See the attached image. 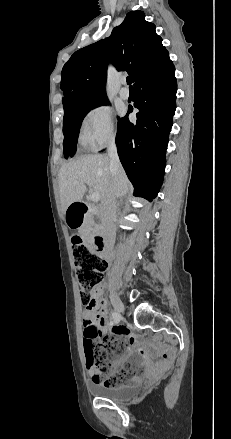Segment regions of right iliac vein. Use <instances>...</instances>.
<instances>
[{
    "instance_id": "1",
    "label": "right iliac vein",
    "mask_w": 231,
    "mask_h": 439,
    "mask_svg": "<svg viewBox=\"0 0 231 439\" xmlns=\"http://www.w3.org/2000/svg\"><path fill=\"white\" fill-rule=\"evenodd\" d=\"M110 299H111L112 305L115 309L114 319L120 321L122 319L121 312L123 311V304H122L121 300L114 294L110 296Z\"/></svg>"
}]
</instances>
